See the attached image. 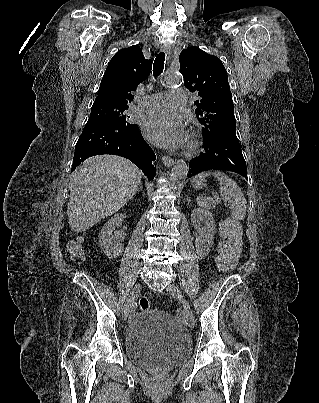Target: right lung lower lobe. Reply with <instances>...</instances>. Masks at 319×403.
<instances>
[{
    "label": "right lung lower lobe",
    "instance_id": "98d812e1",
    "mask_svg": "<svg viewBox=\"0 0 319 403\" xmlns=\"http://www.w3.org/2000/svg\"><path fill=\"white\" fill-rule=\"evenodd\" d=\"M113 154L131 160L150 179H154L156 159L153 150L144 141L135 124L124 125L111 122L87 123L75 146L72 171L88 157Z\"/></svg>",
    "mask_w": 319,
    "mask_h": 403
}]
</instances>
